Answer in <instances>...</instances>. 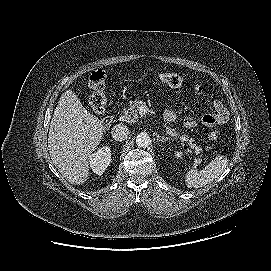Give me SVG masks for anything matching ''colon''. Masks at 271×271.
<instances>
[{"mask_svg":"<svg viewBox=\"0 0 271 271\" xmlns=\"http://www.w3.org/2000/svg\"><path fill=\"white\" fill-rule=\"evenodd\" d=\"M160 80L162 83L173 87L178 88L182 86L183 79L181 76L174 73H163L160 75ZM106 73L103 70H98L90 75L87 81V88L91 91L90 97V107L93 112L100 114L104 111L107 95H106ZM212 138H216L217 134L212 133Z\"/></svg>","mask_w":271,"mask_h":271,"instance_id":"5ec220e1","label":"colon"}]
</instances>
